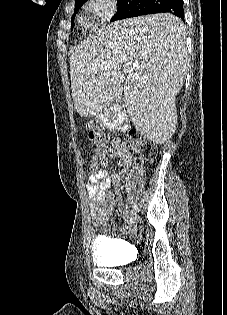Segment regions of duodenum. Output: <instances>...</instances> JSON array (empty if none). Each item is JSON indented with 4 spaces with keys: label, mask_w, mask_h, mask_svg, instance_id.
Masks as SVG:
<instances>
[{
    "label": "duodenum",
    "mask_w": 227,
    "mask_h": 315,
    "mask_svg": "<svg viewBox=\"0 0 227 315\" xmlns=\"http://www.w3.org/2000/svg\"><path fill=\"white\" fill-rule=\"evenodd\" d=\"M125 119V113L118 107L104 115V120L107 126L112 128L121 127L124 124Z\"/></svg>",
    "instance_id": "410a0bca"
}]
</instances>
